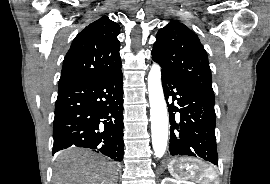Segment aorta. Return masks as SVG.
Segmentation results:
<instances>
[{"label":"aorta","instance_id":"aorta-1","mask_svg":"<svg viewBox=\"0 0 270 184\" xmlns=\"http://www.w3.org/2000/svg\"><path fill=\"white\" fill-rule=\"evenodd\" d=\"M147 82L150 102L152 147L155 156L161 158L167 147L168 117L161 85V68L158 64L152 65Z\"/></svg>","mask_w":270,"mask_h":184}]
</instances>
